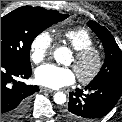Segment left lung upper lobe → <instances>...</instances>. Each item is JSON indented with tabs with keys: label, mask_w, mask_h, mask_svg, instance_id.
Masks as SVG:
<instances>
[{
	"label": "left lung upper lobe",
	"mask_w": 122,
	"mask_h": 122,
	"mask_svg": "<svg viewBox=\"0 0 122 122\" xmlns=\"http://www.w3.org/2000/svg\"><path fill=\"white\" fill-rule=\"evenodd\" d=\"M88 26L100 38L105 50V62L97 76L89 84L109 81L122 82V52L114 37L105 27L95 21H89Z\"/></svg>",
	"instance_id": "obj_1"
}]
</instances>
